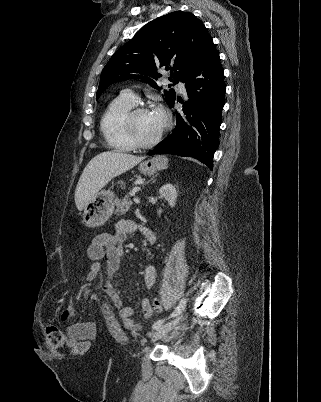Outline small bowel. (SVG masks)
Returning a JSON list of instances; mask_svg holds the SVG:
<instances>
[{
  "mask_svg": "<svg viewBox=\"0 0 321 402\" xmlns=\"http://www.w3.org/2000/svg\"><path fill=\"white\" fill-rule=\"evenodd\" d=\"M140 232L146 241L154 244L156 234L150 228L140 225L133 220L123 219L116 223L115 230L112 233H101L94 237L87 249V256L91 260L87 269L82 275L86 282L93 281L102 268V260L106 261L107 282L105 293L118 309V314L123 320L124 326L132 331L139 329L137 320L132 316L133 310L123 304L122 298L112 283L113 274L119 269L123 259V243L128 235ZM157 276V268L154 264H149L143 272L144 283L148 288L154 286ZM143 314L146 317L152 315V309L148 299L141 300ZM75 314L73 305H68L61 312V319L67 323V345L72 351L73 358H84L86 350L91 348L89 342L90 335H95L96 328L99 326L97 321H87L85 323L69 322Z\"/></svg>",
  "mask_w": 321,
  "mask_h": 402,
  "instance_id": "c3829d8e",
  "label": "small bowel"
}]
</instances>
